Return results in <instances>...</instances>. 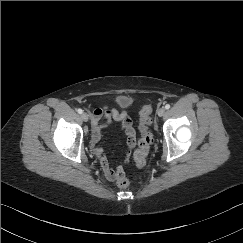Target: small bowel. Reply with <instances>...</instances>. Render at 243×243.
I'll use <instances>...</instances> for the list:
<instances>
[{
	"mask_svg": "<svg viewBox=\"0 0 243 243\" xmlns=\"http://www.w3.org/2000/svg\"><path fill=\"white\" fill-rule=\"evenodd\" d=\"M92 132L90 139V147L93 154L99 160L100 168L107 180L117 182L119 178L125 176L123 165L112 167L108 156L104 149L98 145L103 129L111 122H119L124 130L126 137L127 151L125 154L124 163L129 162L132 157L133 149L136 145V133L133 127L132 118L124 111L115 107L97 108L91 112Z\"/></svg>",
	"mask_w": 243,
	"mask_h": 243,
	"instance_id": "obj_1",
	"label": "small bowel"
}]
</instances>
